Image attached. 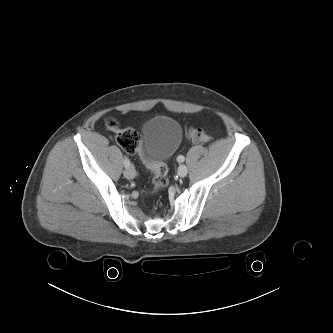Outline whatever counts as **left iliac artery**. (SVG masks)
<instances>
[{"label": "left iliac artery", "instance_id": "obj_1", "mask_svg": "<svg viewBox=\"0 0 333 333\" xmlns=\"http://www.w3.org/2000/svg\"><path fill=\"white\" fill-rule=\"evenodd\" d=\"M184 160H185V157L183 156V155H179L178 157H177V161L178 162H184Z\"/></svg>", "mask_w": 333, "mask_h": 333}]
</instances>
